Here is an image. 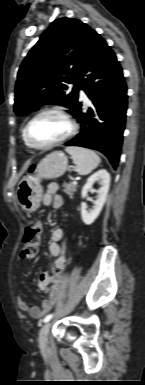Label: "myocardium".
Wrapping results in <instances>:
<instances>
[{
  "instance_id": "myocardium-1",
  "label": "myocardium",
  "mask_w": 145,
  "mask_h": 385,
  "mask_svg": "<svg viewBox=\"0 0 145 385\" xmlns=\"http://www.w3.org/2000/svg\"><path fill=\"white\" fill-rule=\"evenodd\" d=\"M48 113H54V114H57V115L63 117L69 125V130L62 138H60V139H58V140H56L50 144H47L44 146L35 145L30 139V127H31L32 123L38 117H40L44 114H48ZM77 130H78V124H77L76 120L73 118V116L71 115V113L67 109H65L61 106H52V107H46V108L41 109L27 122L25 129H24L23 136H24V140H25L28 147H30L34 150H48V149H51L53 147H56V146L64 143L65 141L69 140L70 138H72L76 134Z\"/></svg>"
}]
</instances>
